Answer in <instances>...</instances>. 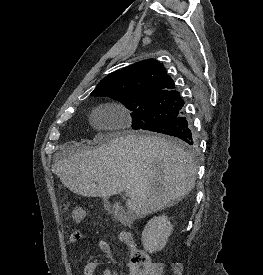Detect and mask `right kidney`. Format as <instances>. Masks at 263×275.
Listing matches in <instances>:
<instances>
[{"label": "right kidney", "instance_id": "obj_1", "mask_svg": "<svg viewBox=\"0 0 263 275\" xmlns=\"http://www.w3.org/2000/svg\"><path fill=\"white\" fill-rule=\"evenodd\" d=\"M172 224L165 215L153 217L146 224L141 241L143 247L149 253L162 250L172 233Z\"/></svg>", "mask_w": 263, "mask_h": 275}]
</instances>
